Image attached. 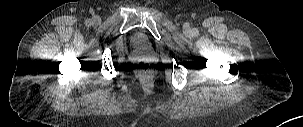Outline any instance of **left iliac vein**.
<instances>
[{
    "label": "left iliac vein",
    "instance_id": "left-iliac-vein-1",
    "mask_svg": "<svg viewBox=\"0 0 303 127\" xmlns=\"http://www.w3.org/2000/svg\"><path fill=\"white\" fill-rule=\"evenodd\" d=\"M185 30H186V32H189V31H190L189 28H185Z\"/></svg>",
    "mask_w": 303,
    "mask_h": 127
}]
</instances>
